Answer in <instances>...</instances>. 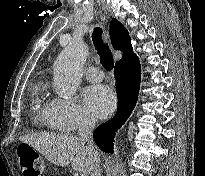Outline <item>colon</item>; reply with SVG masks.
Listing matches in <instances>:
<instances>
[{
	"label": "colon",
	"instance_id": "1",
	"mask_svg": "<svg viewBox=\"0 0 205 176\" xmlns=\"http://www.w3.org/2000/svg\"><path fill=\"white\" fill-rule=\"evenodd\" d=\"M16 158L24 176H41L44 162L37 152L18 148Z\"/></svg>",
	"mask_w": 205,
	"mask_h": 176
}]
</instances>
